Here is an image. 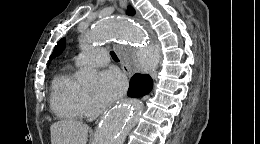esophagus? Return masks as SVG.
Returning a JSON list of instances; mask_svg holds the SVG:
<instances>
[{
	"label": "esophagus",
	"mask_w": 260,
	"mask_h": 144,
	"mask_svg": "<svg viewBox=\"0 0 260 144\" xmlns=\"http://www.w3.org/2000/svg\"><path fill=\"white\" fill-rule=\"evenodd\" d=\"M119 5H120V10L124 11L127 7V0H119ZM121 67H122L124 74L128 77H131L132 72H131L130 68L123 61H121Z\"/></svg>",
	"instance_id": "1"
}]
</instances>
